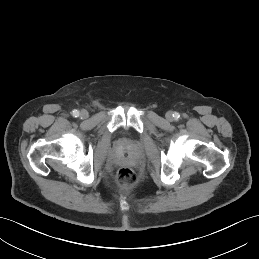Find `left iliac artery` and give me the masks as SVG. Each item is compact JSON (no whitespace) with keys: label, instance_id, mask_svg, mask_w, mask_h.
<instances>
[{"label":"left iliac artery","instance_id":"44dca946","mask_svg":"<svg viewBox=\"0 0 259 259\" xmlns=\"http://www.w3.org/2000/svg\"><path fill=\"white\" fill-rule=\"evenodd\" d=\"M173 117L178 118L179 117L178 113H175V115H173Z\"/></svg>","mask_w":259,"mask_h":259}]
</instances>
